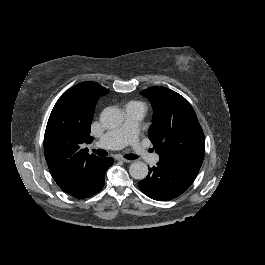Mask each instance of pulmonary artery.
<instances>
[{
	"mask_svg": "<svg viewBox=\"0 0 265 265\" xmlns=\"http://www.w3.org/2000/svg\"><path fill=\"white\" fill-rule=\"evenodd\" d=\"M124 124L119 127L115 135H104L100 144L104 148H118L128 142L131 151L143 159L146 163L157 162L159 155H155L139 144V132L137 123L143 118V108L127 106L123 109Z\"/></svg>",
	"mask_w": 265,
	"mask_h": 265,
	"instance_id": "obj_1",
	"label": "pulmonary artery"
}]
</instances>
